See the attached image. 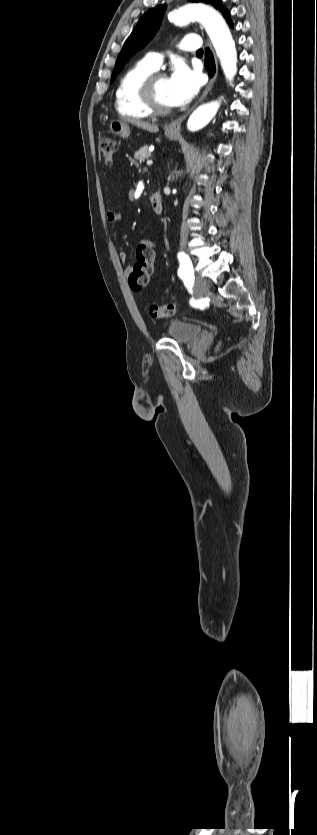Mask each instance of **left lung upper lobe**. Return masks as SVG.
Segmentation results:
<instances>
[{"instance_id":"1","label":"left lung upper lobe","mask_w":317,"mask_h":835,"mask_svg":"<svg viewBox=\"0 0 317 835\" xmlns=\"http://www.w3.org/2000/svg\"><path fill=\"white\" fill-rule=\"evenodd\" d=\"M190 2L195 3H205L211 4L216 9L222 11V13L226 16L228 13L227 9L221 6V0H188ZM166 9V5H159L156 6L149 11H147L138 21L136 27L132 31L131 35L127 38L124 43V46L117 58L114 71L112 74L111 82L115 79L116 75L124 68L125 63L129 60L131 56H133L138 50L143 48L156 34L157 30L161 25L162 18L164 16V12Z\"/></svg>"}]
</instances>
